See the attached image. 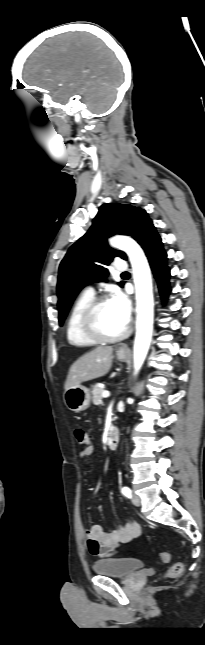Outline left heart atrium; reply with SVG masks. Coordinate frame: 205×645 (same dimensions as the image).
<instances>
[{
    "mask_svg": "<svg viewBox=\"0 0 205 645\" xmlns=\"http://www.w3.org/2000/svg\"><path fill=\"white\" fill-rule=\"evenodd\" d=\"M109 301L121 317L122 321L127 325L131 316V304L129 299L122 292L115 291Z\"/></svg>",
    "mask_w": 205,
    "mask_h": 645,
    "instance_id": "1",
    "label": "left heart atrium"
}]
</instances>
